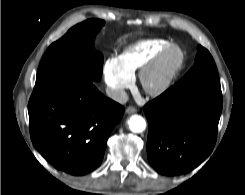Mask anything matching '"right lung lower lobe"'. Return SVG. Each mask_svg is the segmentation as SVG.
Returning <instances> with one entry per match:
<instances>
[{
	"mask_svg": "<svg viewBox=\"0 0 245 195\" xmlns=\"http://www.w3.org/2000/svg\"><path fill=\"white\" fill-rule=\"evenodd\" d=\"M28 113L35 148L55 168L79 176L101 164L124 108L102 95L87 77L33 92Z\"/></svg>",
	"mask_w": 245,
	"mask_h": 195,
	"instance_id": "right-lung-lower-lobe-1",
	"label": "right lung lower lobe"
}]
</instances>
